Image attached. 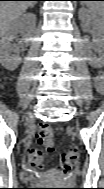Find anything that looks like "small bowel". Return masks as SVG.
<instances>
[{
  "instance_id": "c3829d8e",
  "label": "small bowel",
  "mask_w": 104,
  "mask_h": 189,
  "mask_svg": "<svg viewBox=\"0 0 104 189\" xmlns=\"http://www.w3.org/2000/svg\"><path fill=\"white\" fill-rule=\"evenodd\" d=\"M95 84L97 86V88L101 89L103 87L104 84V78L103 76L99 75L95 78Z\"/></svg>"
}]
</instances>
